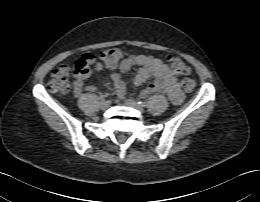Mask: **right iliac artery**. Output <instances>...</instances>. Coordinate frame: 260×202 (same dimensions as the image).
I'll list each match as a JSON object with an SVG mask.
<instances>
[{"label": "right iliac artery", "mask_w": 260, "mask_h": 202, "mask_svg": "<svg viewBox=\"0 0 260 202\" xmlns=\"http://www.w3.org/2000/svg\"><path fill=\"white\" fill-rule=\"evenodd\" d=\"M100 99L103 101L105 99V96H101Z\"/></svg>", "instance_id": "1"}]
</instances>
